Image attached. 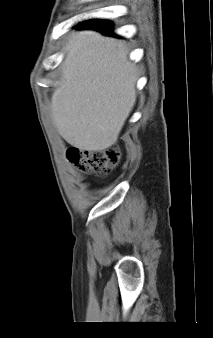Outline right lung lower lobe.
<instances>
[{"label": "right lung lower lobe", "instance_id": "98d812e1", "mask_svg": "<svg viewBox=\"0 0 213 338\" xmlns=\"http://www.w3.org/2000/svg\"><path fill=\"white\" fill-rule=\"evenodd\" d=\"M79 29H94L102 32L105 35L116 36L112 32V23L103 20H87L76 26Z\"/></svg>", "mask_w": 213, "mask_h": 338}]
</instances>
